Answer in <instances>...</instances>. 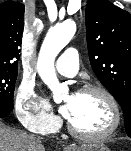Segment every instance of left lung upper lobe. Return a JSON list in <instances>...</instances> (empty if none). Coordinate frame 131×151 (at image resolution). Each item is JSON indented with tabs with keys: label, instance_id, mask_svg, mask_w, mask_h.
Segmentation results:
<instances>
[{
	"label": "left lung upper lobe",
	"instance_id": "left-lung-upper-lobe-1",
	"mask_svg": "<svg viewBox=\"0 0 131 151\" xmlns=\"http://www.w3.org/2000/svg\"><path fill=\"white\" fill-rule=\"evenodd\" d=\"M85 22L92 69L120 104L131 135V15L107 0H88Z\"/></svg>",
	"mask_w": 131,
	"mask_h": 151
}]
</instances>
